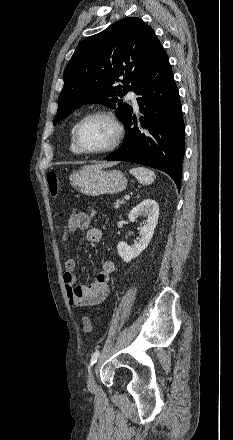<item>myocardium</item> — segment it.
I'll return each mask as SVG.
<instances>
[{
  "label": "myocardium",
  "mask_w": 233,
  "mask_h": 440,
  "mask_svg": "<svg viewBox=\"0 0 233 440\" xmlns=\"http://www.w3.org/2000/svg\"><path fill=\"white\" fill-rule=\"evenodd\" d=\"M94 117H101V118H104L107 121H109L111 123V125L113 126L115 133H114L113 140L111 141V143L107 147L102 148V149H98V150H87V149H84L80 146L79 141H78V133H79V130H80L82 124L85 121H87L88 119H91ZM123 136H124V128H123V125L121 124V122L119 121V119L117 118V116L110 110L98 109V110H94V111H91V112L85 114L77 121V123L74 125V128H73L72 141H73L74 147L76 148V150L80 154L103 155V154H107V153L114 151L121 143Z\"/></svg>",
  "instance_id": "f54148a6"
}]
</instances>
